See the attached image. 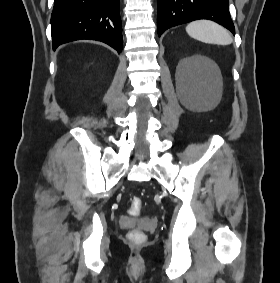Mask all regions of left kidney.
Instances as JSON below:
<instances>
[{
	"mask_svg": "<svg viewBox=\"0 0 280 283\" xmlns=\"http://www.w3.org/2000/svg\"><path fill=\"white\" fill-rule=\"evenodd\" d=\"M194 59H196V60H200V59H203V57H195Z\"/></svg>",
	"mask_w": 280,
	"mask_h": 283,
	"instance_id": "left-kidney-1",
	"label": "left kidney"
}]
</instances>
